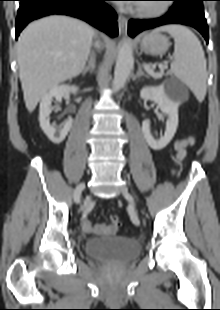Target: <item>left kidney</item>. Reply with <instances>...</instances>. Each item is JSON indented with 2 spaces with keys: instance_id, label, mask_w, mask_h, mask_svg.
Wrapping results in <instances>:
<instances>
[{
  "instance_id": "obj_1",
  "label": "left kidney",
  "mask_w": 220,
  "mask_h": 310,
  "mask_svg": "<svg viewBox=\"0 0 220 310\" xmlns=\"http://www.w3.org/2000/svg\"><path fill=\"white\" fill-rule=\"evenodd\" d=\"M141 98L154 101L162 113L168 116L164 136L155 139L150 132V124L147 120L142 123V132L148 145L154 150H161L166 147L174 137L178 126L179 100L164 87H144L141 90Z\"/></svg>"
}]
</instances>
